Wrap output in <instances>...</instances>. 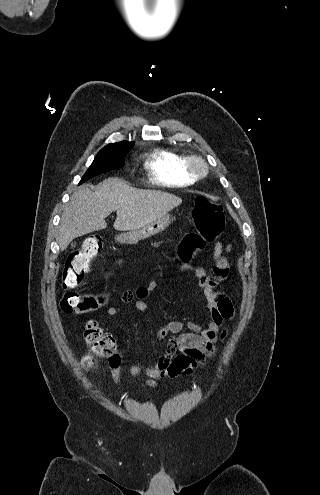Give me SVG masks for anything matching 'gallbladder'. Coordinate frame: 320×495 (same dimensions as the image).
Listing matches in <instances>:
<instances>
[{
  "label": "gallbladder",
  "instance_id": "obj_1",
  "mask_svg": "<svg viewBox=\"0 0 320 495\" xmlns=\"http://www.w3.org/2000/svg\"><path fill=\"white\" fill-rule=\"evenodd\" d=\"M71 247L73 248L74 247V243L71 244Z\"/></svg>",
  "mask_w": 320,
  "mask_h": 495
}]
</instances>
